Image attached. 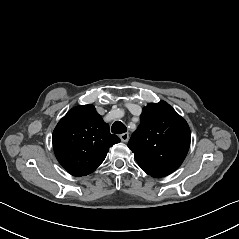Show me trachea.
Listing matches in <instances>:
<instances>
[{
    "label": "trachea",
    "instance_id": "trachea-1",
    "mask_svg": "<svg viewBox=\"0 0 239 239\" xmlns=\"http://www.w3.org/2000/svg\"><path fill=\"white\" fill-rule=\"evenodd\" d=\"M126 131H127L126 126L120 121L114 122L111 127V132L114 134H122L125 133Z\"/></svg>",
    "mask_w": 239,
    "mask_h": 239
}]
</instances>
